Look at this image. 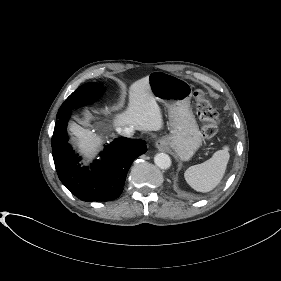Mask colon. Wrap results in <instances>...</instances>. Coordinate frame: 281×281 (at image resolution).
Wrapping results in <instances>:
<instances>
[{
    "mask_svg": "<svg viewBox=\"0 0 281 281\" xmlns=\"http://www.w3.org/2000/svg\"><path fill=\"white\" fill-rule=\"evenodd\" d=\"M197 108L202 121V134L206 139L213 138L218 133V111L213 108L205 93L197 90L195 93Z\"/></svg>",
    "mask_w": 281,
    "mask_h": 281,
    "instance_id": "5ec220e1",
    "label": "colon"
}]
</instances>
